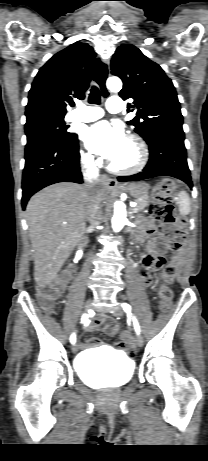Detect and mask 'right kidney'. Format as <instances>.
Listing matches in <instances>:
<instances>
[{
	"label": "right kidney",
	"mask_w": 208,
	"mask_h": 461,
	"mask_svg": "<svg viewBox=\"0 0 208 461\" xmlns=\"http://www.w3.org/2000/svg\"><path fill=\"white\" fill-rule=\"evenodd\" d=\"M77 253H81V254H82V251H81V250H79Z\"/></svg>",
	"instance_id": "obj_1"
}]
</instances>
